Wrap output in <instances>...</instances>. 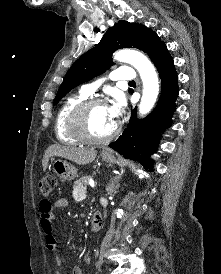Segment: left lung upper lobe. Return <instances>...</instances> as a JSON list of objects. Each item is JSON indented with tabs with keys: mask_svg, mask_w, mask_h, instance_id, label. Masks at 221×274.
<instances>
[{
	"mask_svg": "<svg viewBox=\"0 0 221 274\" xmlns=\"http://www.w3.org/2000/svg\"><path fill=\"white\" fill-rule=\"evenodd\" d=\"M164 42L145 25L120 20L109 28L101 41L83 54L67 72L53 105L57 104L72 88L102 74L111 65L112 53L125 47H134L150 56ZM131 92V91H129Z\"/></svg>",
	"mask_w": 221,
	"mask_h": 274,
	"instance_id": "1",
	"label": "left lung upper lobe"
}]
</instances>
